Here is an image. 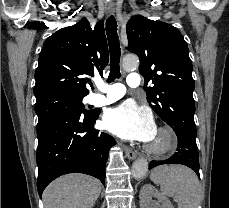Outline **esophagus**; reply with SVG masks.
I'll return each instance as SVG.
<instances>
[{
    "label": "esophagus",
    "instance_id": "34e87169",
    "mask_svg": "<svg viewBox=\"0 0 229 208\" xmlns=\"http://www.w3.org/2000/svg\"><path fill=\"white\" fill-rule=\"evenodd\" d=\"M108 12L111 15H113L114 12H115V8L109 6L108 7ZM124 149H125V154H126V156L128 157L129 160H134L137 157V153L132 148H130L129 146L125 145Z\"/></svg>",
    "mask_w": 229,
    "mask_h": 208
}]
</instances>
